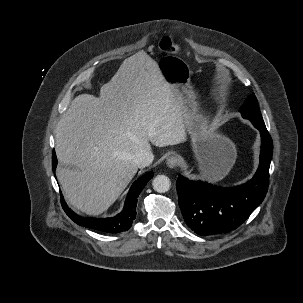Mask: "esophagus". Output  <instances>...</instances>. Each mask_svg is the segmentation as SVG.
I'll return each mask as SVG.
<instances>
[{
  "label": "esophagus",
  "mask_w": 303,
  "mask_h": 303,
  "mask_svg": "<svg viewBox=\"0 0 303 303\" xmlns=\"http://www.w3.org/2000/svg\"><path fill=\"white\" fill-rule=\"evenodd\" d=\"M179 163V159L176 155H170L167 159H166V164L169 168H175L177 167Z\"/></svg>",
  "instance_id": "esophagus-1"
}]
</instances>
